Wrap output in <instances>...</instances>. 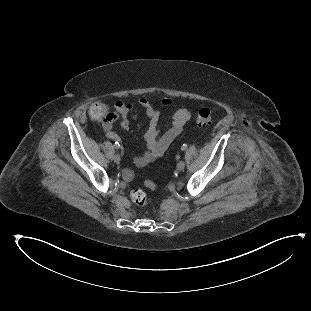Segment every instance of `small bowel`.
<instances>
[{
  "label": "small bowel",
  "mask_w": 311,
  "mask_h": 311,
  "mask_svg": "<svg viewBox=\"0 0 311 311\" xmlns=\"http://www.w3.org/2000/svg\"><path fill=\"white\" fill-rule=\"evenodd\" d=\"M164 106L171 105L170 100H163ZM139 107L145 112L148 118V127L145 132V150L133 157V162L137 167H145L149 163L159 159L168 149L173 140L183 131L189 119V112L180 108L173 115L168 128L164 132L159 130L160 112L154 104L147 98L138 101ZM118 118L121 119L122 130H128L131 125V113L134 105L131 101L117 100L113 104ZM104 131L108 138L118 140L119 135L112 131V125H104Z\"/></svg>",
  "instance_id": "1"
}]
</instances>
